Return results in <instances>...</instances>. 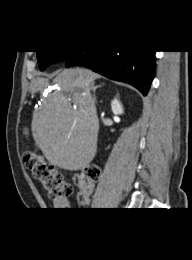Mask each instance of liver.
I'll return each instance as SVG.
<instances>
[{
    "label": "liver",
    "mask_w": 192,
    "mask_h": 260,
    "mask_svg": "<svg viewBox=\"0 0 192 260\" xmlns=\"http://www.w3.org/2000/svg\"><path fill=\"white\" fill-rule=\"evenodd\" d=\"M99 77L84 68L64 69L52 81L59 89L44 97L33 114L31 130L36 145L61 169L81 170L96 155L99 120L90 85ZM49 85V79L37 77L32 92L42 93Z\"/></svg>",
    "instance_id": "1"
}]
</instances>
